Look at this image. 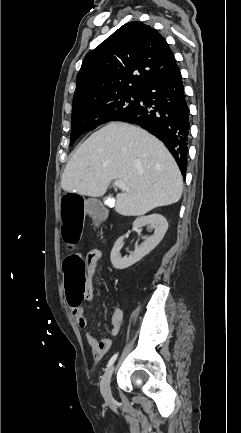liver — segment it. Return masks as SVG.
<instances>
[{
	"label": "liver",
	"instance_id": "6515ba94",
	"mask_svg": "<svg viewBox=\"0 0 241 433\" xmlns=\"http://www.w3.org/2000/svg\"><path fill=\"white\" fill-rule=\"evenodd\" d=\"M113 180H122L130 189L116 195L115 210L123 216L174 204L183 192L181 172L165 145L127 123H109L82 143L65 167L61 187L99 197Z\"/></svg>",
	"mask_w": 241,
	"mask_h": 433
}]
</instances>
